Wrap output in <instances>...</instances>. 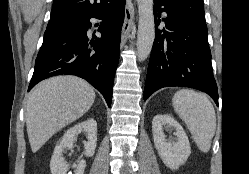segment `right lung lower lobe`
<instances>
[{
  "label": "right lung lower lobe",
  "instance_id": "98d812e1",
  "mask_svg": "<svg viewBox=\"0 0 249 174\" xmlns=\"http://www.w3.org/2000/svg\"><path fill=\"white\" fill-rule=\"evenodd\" d=\"M124 8L125 0H114L101 12L71 18L52 27L44 36L28 91L48 77L75 75L100 91L110 107ZM91 17L103 20L98 29L102 36L88 42L87 30L92 25Z\"/></svg>",
  "mask_w": 249,
  "mask_h": 174
}]
</instances>
